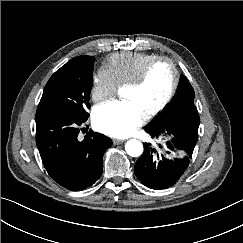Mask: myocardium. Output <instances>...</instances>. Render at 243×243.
I'll list each match as a JSON object with an SVG mask.
<instances>
[{
  "label": "myocardium",
  "mask_w": 243,
  "mask_h": 243,
  "mask_svg": "<svg viewBox=\"0 0 243 243\" xmlns=\"http://www.w3.org/2000/svg\"><path fill=\"white\" fill-rule=\"evenodd\" d=\"M161 62H167L171 66V68L173 70V82H172L171 89H170L167 97L164 99V101L158 107H156L155 109H153L152 111H150L149 113H147L145 115V119H147V120L152 119V118L156 117L157 115H159L160 113H162L173 101V99L177 93V90L179 87V82H180V74H179V70H178L176 63L169 57L158 56V57L154 58L153 60H151L150 62H148L143 67V69L140 71V73L137 75V77L125 85V88L136 89V88L141 87L144 84V82L146 81L151 69L155 65H157L158 63H161Z\"/></svg>",
  "instance_id": "f54148a6"
}]
</instances>
